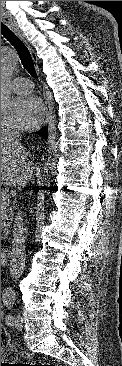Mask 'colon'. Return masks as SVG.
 Listing matches in <instances>:
<instances>
[{"mask_svg": "<svg viewBox=\"0 0 122 366\" xmlns=\"http://www.w3.org/2000/svg\"><path fill=\"white\" fill-rule=\"evenodd\" d=\"M1 358L15 360L16 353L14 348L9 343V338L5 330L1 327ZM14 366H34L32 364H13ZM39 366H57L53 364H45Z\"/></svg>", "mask_w": 122, "mask_h": 366, "instance_id": "5ec220e1", "label": "colon"}]
</instances>
